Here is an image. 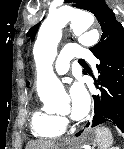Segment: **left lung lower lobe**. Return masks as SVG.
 <instances>
[{
    "instance_id": "0a47b994",
    "label": "left lung lower lobe",
    "mask_w": 124,
    "mask_h": 149,
    "mask_svg": "<svg viewBox=\"0 0 124 149\" xmlns=\"http://www.w3.org/2000/svg\"><path fill=\"white\" fill-rule=\"evenodd\" d=\"M100 60L98 80L100 90L94 98L92 127L110 122L124 133V46L95 55Z\"/></svg>"
}]
</instances>
